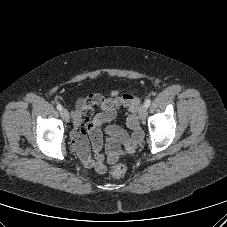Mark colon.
Instances as JSON below:
<instances>
[{"instance_id":"1","label":"colon","mask_w":227,"mask_h":227,"mask_svg":"<svg viewBox=\"0 0 227 227\" xmlns=\"http://www.w3.org/2000/svg\"><path fill=\"white\" fill-rule=\"evenodd\" d=\"M126 169H127V167L124 163H117L111 168L110 173H111L112 177L120 178L125 174Z\"/></svg>"}]
</instances>
